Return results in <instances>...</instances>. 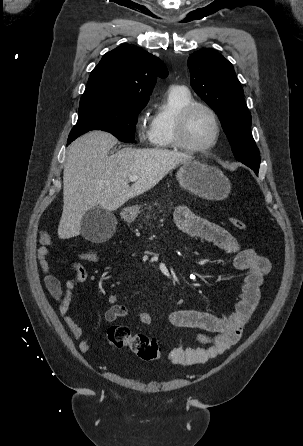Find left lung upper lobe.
<instances>
[{"instance_id": "1", "label": "left lung upper lobe", "mask_w": 303, "mask_h": 446, "mask_svg": "<svg viewBox=\"0 0 303 446\" xmlns=\"http://www.w3.org/2000/svg\"><path fill=\"white\" fill-rule=\"evenodd\" d=\"M191 86L218 115L236 159L258 174L260 153L251 133V114L232 64L212 49L188 59Z\"/></svg>"}]
</instances>
